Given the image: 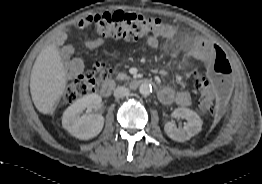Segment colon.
Instances as JSON below:
<instances>
[{
	"label": "colon",
	"mask_w": 262,
	"mask_h": 184,
	"mask_svg": "<svg viewBox=\"0 0 262 184\" xmlns=\"http://www.w3.org/2000/svg\"><path fill=\"white\" fill-rule=\"evenodd\" d=\"M80 27L94 26L103 38L134 41L148 36L160 29L163 24L159 18L123 11L104 12L83 17ZM212 69L215 76L212 80L198 78L195 83L199 94V107L207 113L220 116L228 104L232 90L231 66L224 51L213 46ZM110 76V70L103 62H96L91 69L77 76L66 88L64 99L76 101L99 89Z\"/></svg>",
	"instance_id": "colon-1"
}]
</instances>
